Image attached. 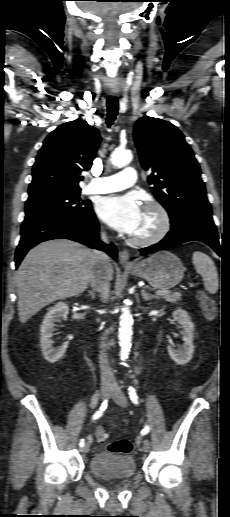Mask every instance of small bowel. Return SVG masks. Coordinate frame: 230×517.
I'll return each mask as SVG.
<instances>
[{"label":"small bowel","instance_id":"c3829d8e","mask_svg":"<svg viewBox=\"0 0 230 517\" xmlns=\"http://www.w3.org/2000/svg\"><path fill=\"white\" fill-rule=\"evenodd\" d=\"M101 429H102V428H97V429L95 430V435H97V432H98L99 430H101ZM102 430H103V429H102Z\"/></svg>","mask_w":230,"mask_h":517}]
</instances>
